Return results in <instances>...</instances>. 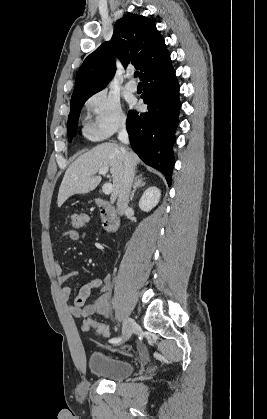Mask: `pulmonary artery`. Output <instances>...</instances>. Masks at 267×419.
<instances>
[{
	"instance_id": "pulmonary-artery-1",
	"label": "pulmonary artery",
	"mask_w": 267,
	"mask_h": 419,
	"mask_svg": "<svg viewBox=\"0 0 267 419\" xmlns=\"http://www.w3.org/2000/svg\"><path fill=\"white\" fill-rule=\"evenodd\" d=\"M131 73L128 74V77L131 78ZM126 88L127 90L131 91V92H135L137 90V83L130 79L127 83H126Z\"/></svg>"
}]
</instances>
